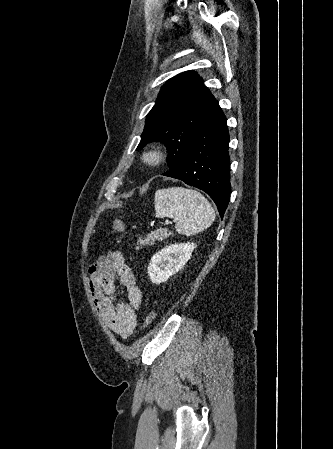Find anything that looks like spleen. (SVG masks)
Here are the masks:
<instances>
[{"label":"spleen","mask_w":333,"mask_h":449,"mask_svg":"<svg viewBox=\"0 0 333 449\" xmlns=\"http://www.w3.org/2000/svg\"><path fill=\"white\" fill-rule=\"evenodd\" d=\"M156 217L174 218L179 234H197L213 223L215 212L198 191L184 187L159 189L154 196Z\"/></svg>","instance_id":"3e777b00"}]
</instances>
